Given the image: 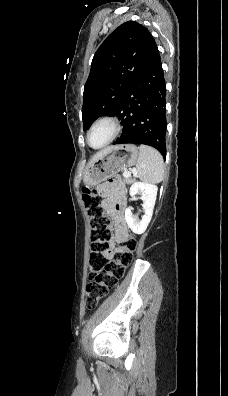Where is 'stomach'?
Returning <instances> with one entry per match:
<instances>
[{
  "label": "stomach",
  "mask_w": 228,
  "mask_h": 396,
  "mask_svg": "<svg viewBox=\"0 0 228 396\" xmlns=\"http://www.w3.org/2000/svg\"><path fill=\"white\" fill-rule=\"evenodd\" d=\"M138 156V148L134 144L114 146L88 165L83 181L86 185L95 186L119 171L135 165Z\"/></svg>",
  "instance_id": "obj_1"
}]
</instances>
